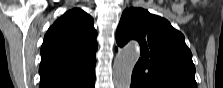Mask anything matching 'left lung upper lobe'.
<instances>
[{
    "mask_svg": "<svg viewBox=\"0 0 223 88\" xmlns=\"http://www.w3.org/2000/svg\"><path fill=\"white\" fill-rule=\"evenodd\" d=\"M130 39L140 44L132 80L141 88H197L192 53L183 34L166 19L142 8L126 9L117 28V45L123 47Z\"/></svg>",
    "mask_w": 223,
    "mask_h": 88,
    "instance_id": "1",
    "label": "left lung upper lobe"
}]
</instances>
